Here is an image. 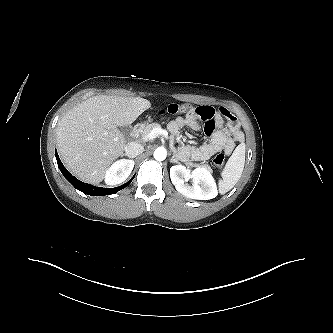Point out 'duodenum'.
Here are the masks:
<instances>
[{
    "label": "duodenum",
    "mask_w": 333,
    "mask_h": 333,
    "mask_svg": "<svg viewBox=\"0 0 333 333\" xmlns=\"http://www.w3.org/2000/svg\"><path fill=\"white\" fill-rule=\"evenodd\" d=\"M145 124L144 123H137L135 126H134V129H133V133L135 135H138L144 128Z\"/></svg>",
    "instance_id": "1"
}]
</instances>
